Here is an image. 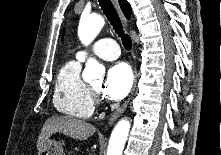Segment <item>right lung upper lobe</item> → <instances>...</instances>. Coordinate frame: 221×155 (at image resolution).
<instances>
[{
	"instance_id": "right-lung-upper-lobe-1",
	"label": "right lung upper lobe",
	"mask_w": 221,
	"mask_h": 155,
	"mask_svg": "<svg viewBox=\"0 0 221 155\" xmlns=\"http://www.w3.org/2000/svg\"><path fill=\"white\" fill-rule=\"evenodd\" d=\"M120 6L127 18L130 17L131 7L127 0H119Z\"/></svg>"
}]
</instances>
